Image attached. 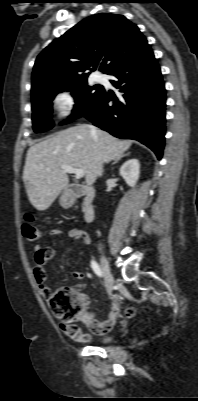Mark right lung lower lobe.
Returning a JSON list of instances; mask_svg holds the SVG:
<instances>
[{
  "mask_svg": "<svg viewBox=\"0 0 198 401\" xmlns=\"http://www.w3.org/2000/svg\"><path fill=\"white\" fill-rule=\"evenodd\" d=\"M109 75L121 94L103 90L83 116L113 136L135 139L162 157L165 135V88L149 45L116 67Z\"/></svg>",
  "mask_w": 198,
  "mask_h": 401,
  "instance_id": "1",
  "label": "right lung lower lobe"
}]
</instances>
